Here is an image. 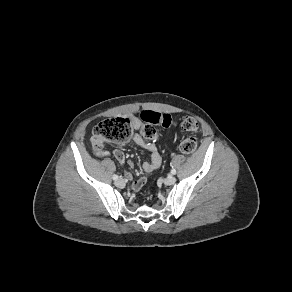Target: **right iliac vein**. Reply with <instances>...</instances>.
Listing matches in <instances>:
<instances>
[{
  "mask_svg": "<svg viewBox=\"0 0 292 292\" xmlns=\"http://www.w3.org/2000/svg\"><path fill=\"white\" fill-rule=\"evenodd\" d=\"M115 185L119 188H123L125 186V182L124 179L119 178L115 181Z\"/></svg>",
  "mask_w": 292,
  "mask_h": 292,
  "instance_id": "1",
  "label": "right iliac vein"
}]
</instances>
